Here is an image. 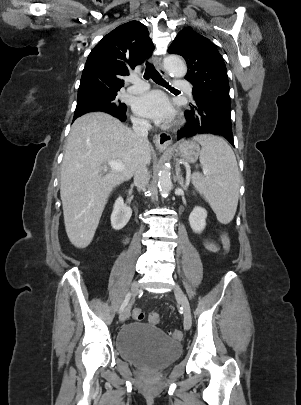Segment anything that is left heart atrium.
I'll use <instances>...</instances> for the list:
<instances>
[{
    "mask_svg": "<svg viewBox=\"0 0 301 405\" xmlns=\"http://www.w3.org/2000/svg\"><path fill=\"white\" fill-rule=\"evenodd\" d=\"M134 111L156 123H169L175 117V110L167 96L160 91H150L135 99Z\"/></svg>",
    "mask_w": 301,
    "mask_h": 405,
    "instance_id": "obj_1",
    "label": "left heart atrium"
}]
</instances>
